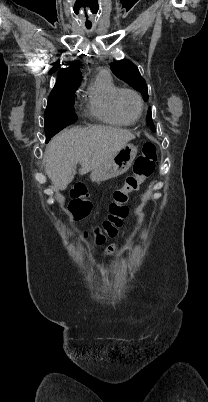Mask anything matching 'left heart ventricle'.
<instances>
[{"label": "left heart ventricle", "instance_id": "1", "mask_svg": "<svg viewBox=\"0 0 208 402\" xmlns=\"http://www.w3.org/2000/svg\"><path fill=\"white\" fill-rule=\"evenodd\" d=\"M120 106L122 110L131 117H136L139 114L138 100L131 94H123L120 97Z\"/></svg>", "mask_w": 208, "mask_h": 402}]
</instances>
